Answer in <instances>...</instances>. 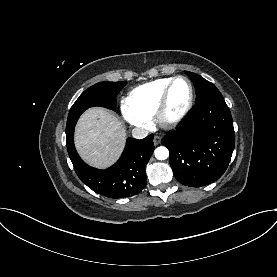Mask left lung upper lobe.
Masks as SVG:
<instances>
[{
  "mask_svg": "<svg viewBox=\"0 0 277 277\" xmlns=\"http://www.w3.org/2000/svg\"><path fill=\"white\" fill-rule=\"evenodd\" d=\"M189 78L194 83L196 91V104H199L212 96L222 95L214 84L207 81L198 74L185 71Z\"/></svg>",
  "mask_w": 277,
  "mask_h": 277,
  "instance_id": "5c2ea615",
  "label": "left lung upper lobe"
}]
</instances>
